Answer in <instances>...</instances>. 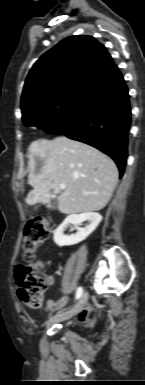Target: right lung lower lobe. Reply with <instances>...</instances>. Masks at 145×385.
Segmentation results:
<instances>
[{"label": "right lung lower lobe", "instance_id": "obj_1", "mask_svg": "<svg viewBox=\"0 0 145 385\" xmlns=\"http://www.w3.org/2000/svg\"><path fill=\"white\" fill-rule=\"evenodd\" d=\"M131 106L123 76L97 89L86 105L53 134L89 144L109 155L124 173Z\"/></svg>", "mask_w": 145, "mask_h": 385}]
</instances>
